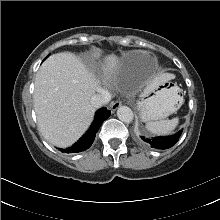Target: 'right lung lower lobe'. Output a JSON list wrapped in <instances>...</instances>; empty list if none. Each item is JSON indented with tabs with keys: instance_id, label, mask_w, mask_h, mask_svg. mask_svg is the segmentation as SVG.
Instances as JSON below:
<instances>
[{
	"instance_id": "obj_1",
	"label": "right lung lower lobe",
	"mask_w": 220,
	"mask_h": 220,
	"mask_svg": "<svg viewBox=\"0 0 220 220\" xmlns=\"http://www.w3.org/2000/svg\"><path fill=\"white\" fill-rule=\"evenodd\" d=\"M110 114L111 112L104 107L99 109L96 112L94 121L90 126L89 130L79 139V141L65 150H60L66 153H76L88 149L92 145L99 127L101 126L103 121L110 116Z\"/></svg>"
}]
</instances>
